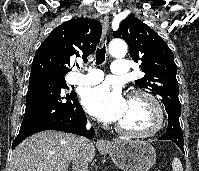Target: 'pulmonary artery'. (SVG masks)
<instances>
[{
	"instance_id": "pulmonary-artery-1",
	"label": "pulmonary artery",
	"mask_w": 199,
	"mask_h": 171,
	"mask_svg": "<svg viewBox=\"0 0 199 171\" xmlns=\"http://www.w3.org/2000/svg\"><path fill=\"white\" fill-rule=\"evenodd\" d=\"M85 74L77 73L71 78V83L76 85H94L103 79V73L97 69H86ZM129 71L128 61L126 59L115 60L111 66L113 75L124 76Z\"/></svg>"
}]
</instances>
